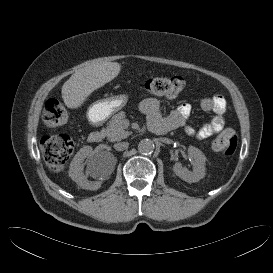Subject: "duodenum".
<instances>
[{"instance_id": "1", "label": "duodenum", "mask_w": 273, "mask_h": 273, "mask_svg": "<svg viewBox=\"0 0 273 273\" xmlns=\"http://www.w3.org/2000/svg\"><path fill=\"white\" fill-rule=\"evenodd\" d=\"M148 127L151 132L157 135L166 134L170 129L166 120L162 118L154 119L148 122ZM104 134L100 130H95L90 133L89 140L92 143H99L103 140Z\"/></svg>"}]
</instances>
